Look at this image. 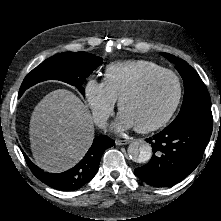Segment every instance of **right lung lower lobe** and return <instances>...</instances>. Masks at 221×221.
<instances>
[{
  "instance_id": "98d812e1",
  "label": "right lung lower lobe",
  "mask_w": 221,
  "mask_h": 221,
  "mask_svg": "<svg viewBox=\"0 0 221 221\" xmlns=\"http://www.w3.org/2000/svg\"><path fill=\"white\" fill-rule=\"evenodd\" d=\"M115 145L106 135L94 139L91 148L83 159L73 168L62 173H49L41 170L23 152L32 173L46 185L61 191L77 190L88 183L97 173L103 152Z\"/></svg>"
}]
</instances>
